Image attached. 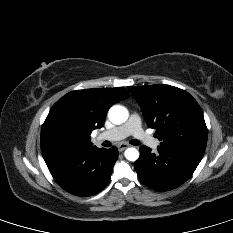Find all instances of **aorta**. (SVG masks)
<instances>
[{
	"label": "aorta",
	"instance_id": "obj_1",
	"mask_svg": "<svg viewBox=\"0 0 233 233\" xmlns=\"http://www.w3.org/2000/svg\"><path fill=\"white\" fill-rule=\"evenodd\" d=\"M108 116L112 123L119 125L127 121L129 113L124 106L114 105L109 109ZM124 155L129 161H136L139 158L138 150L133 147L126 149Z\"/></svg>",
	"mask_w": 233,
	"mask_h": 233
}]
</instances>
